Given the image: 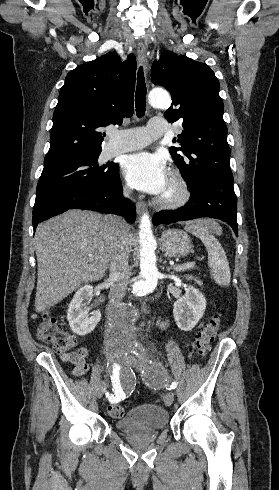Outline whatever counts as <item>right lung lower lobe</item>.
Returning <instances> with one entry per match:
<instances>
[{"mask_svg":"<svg viewBox=\"0 0 279 490\" xmlns=\"http://www.w3.org/2000/svg\"><path fill=\"white\" fill-rule=\"evenodd\" d=\"M74 208L122 215L131 223L136 215L134 204L123 199L118 173L109 182L47 187L37 191L32 218L34 231L38 223Z\"/></svg>","mask_w":279,"mask_h":490,"instance_id":"98d812e1","label":"right lung lower lobe"}]
</instances>
